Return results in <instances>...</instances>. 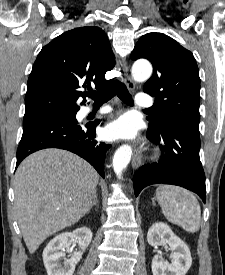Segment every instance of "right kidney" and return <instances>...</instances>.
I'll use <instances>...</instances> for the list:
<instances>
[{
	"mask_svg": "<svg viewBox=\"0 0 225 275\" xmlns=\"http://www.w3.org/2000/svg\"><path fill=\"white\" fill-rule=\"evenodd\" d=\"M92 240L89 228L82 227L73 232H64L55 236L43 251V262L48 275H73L76 264ZM72 242H77L80 251L75 252L71 258H65V250ZM64 259L63 266L60 260Z\"/></svg>",
	"mask_w": 225,
	"mask_h": 275,
	"instance_id": "ca27d5eb",
	"label": "right kidney"
}]
</instances>
